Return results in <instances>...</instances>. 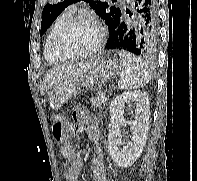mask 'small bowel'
<instances>
[{"label":"small bowel","instance_id":"obj_1","mask_svg":"<svg viewBox=\"0 0 197 181\" xmlns=\"http://www.w3.org/2000/svg\"><path fill=\"white\" fill-rule=\"evenodd\" d=\"M73 129L77 133L85 132L89 140L95 144L99 141V127L97 121L90 115L89 111L79 106L72 114ZM61 155L65 159L64 176L67 181H79V175L83 168V160L77 156L75 148L71 144L61 147ZM92 181H106L105 166L102 149L96 145L94 156L90 163Z\"/></svg>","mask_w":197,"mask_h":181}]
</instances>
